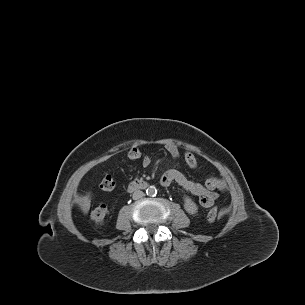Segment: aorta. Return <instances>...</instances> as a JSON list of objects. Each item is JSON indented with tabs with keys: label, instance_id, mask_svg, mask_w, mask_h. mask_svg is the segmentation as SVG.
Masks as SVG:
<instances>
[{
	"label": "aorta",
	"instance_id": "aorta-1",
	"mask_svg": "<svg viewBox=\"0 0 305 305\" xmlns=\"http://www.w3.org/2000/svg\"><path fill=\"white\" fill-rule=\"evenodd\" d=\"M156 193H157V189H156L155 187H153V186H150V187H148V188L146 189V194H147L148 196H155Z\"/></svg>",
	"mask_w": 305,
	"mask_h": 305
}]
</instances>
